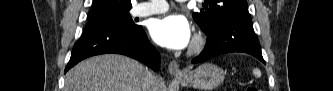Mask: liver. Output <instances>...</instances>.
<instances>
[{
	"mask_svg": "<svg viewBox=\"0 0 333 91\" xmlns=\"http://www.w3.org/2000/svg\"><path fill=\"white\" fill-rule=\"evenodd\" d=\"M147 72L141 63L125 56H95L69 70L64 91H143ZM159 89L156 79L154 91Z\"/></svg>",
	"mask_w": 333,
	"mask_h": 91,
	"instance_id": "liver-1",
	"label": "liver"
}]
</instances>
